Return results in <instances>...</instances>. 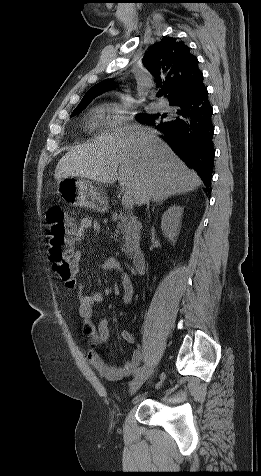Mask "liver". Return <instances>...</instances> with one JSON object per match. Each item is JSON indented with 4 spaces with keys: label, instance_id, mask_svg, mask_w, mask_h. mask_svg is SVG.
I'll use <instances>...</instances> for the list:
<instances>
[{
    "label": "liver",
    "instance_id": "1",
    "mask_svg": "<svg viewBox=\"0 0 261 476\" xmlns=\"http://www.w3.org/2000/svg\"><path fill=\"white\" fill-rule=\"evenodd\" d=\"M54 177L58 182L67 177L102 184L118 180L138 206L193 191L202 184L156 130L139 124L119 126L92 143L72 148L59 160Z\"/></svg>",
    "mask_w": 261,
    "mask_h": 476
}]
</instances>
